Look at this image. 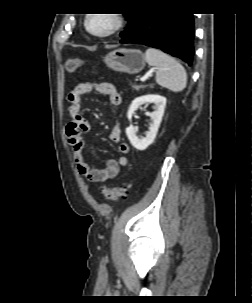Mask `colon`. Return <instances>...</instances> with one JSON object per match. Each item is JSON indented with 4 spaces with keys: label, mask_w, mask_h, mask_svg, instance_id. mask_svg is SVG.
<instances>
[{
    "label": "colon",
    "mask_w": 252,
    "mask_h": 303,
    "mask_svg": "<svg viewBox=\"0 0 252 303\" xmlns=\"http://www.w3.org/2000/svg\"><path fill=\"white\" fill-rule=\"evenodd\" d=\"M84 64L83 60L78 58L68 59L65 64L66 71L69 73L75 72L79 67ZM128 193V187L126 185L118 187H103L102 194L106 201H116L123 198Z\"/></svg>",
    "instance_id": "1"
}]
</instances>
